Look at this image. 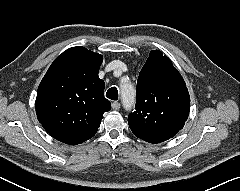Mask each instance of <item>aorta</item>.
Instances as JSON below:
<instances>
[{"label":"aorta","instance_id":"762f6f07","mask_svg":"<svg viewBox=\"0 0 240 191\" xmlns=\"http://www.w3.org/2000/svg\"><path fill=\"white\" fill-rule=\"evenodd\" d=\"M122 103L126 110L131 109L135 103V90L131 84L121 86Z\"/></svg>","mask_w":240,"mask_h":191}]
</instances>
